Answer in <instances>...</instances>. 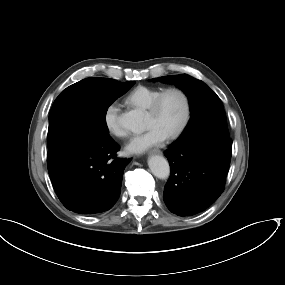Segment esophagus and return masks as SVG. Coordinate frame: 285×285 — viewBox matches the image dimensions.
<instances>
[{
  "mask_svg": "<svg viewBox=\"0 0 285 285\" xmlns=\"http://www.w3.org/2000/svg\"><path fill=\"white\" fill-rule=\"evenodd\" d=\"M150 153L161 155V154H162V151H161V150H159V149H153Z\"/></svg>",
  "mask_w": 285,
  "mask_h": 285,
  "instance_id": "obj_1",
  "label": "esophagus"
}]
</instances>
